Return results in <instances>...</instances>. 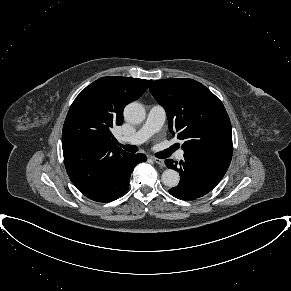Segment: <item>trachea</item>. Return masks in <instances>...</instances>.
Returning a JSON list of instances; mask_svg holds the SVG:
<instances>
[{"label":"trachea","mask_w":291,"mask_h":291,"mask_svg":"<svg viewBox=\"0 0 291 291\" xmlns=\"http://www.w3.org/2000/svg\"><path fill=\"white\" fill-rule=\"evenodd\" d=\"M121 147L124 148V150L131 152V153H135L138 151V148L136 146L133 145H120ZM175 150V147H171L168 150L164 151L163 154L161 155H157L158 158H165L167 156H169L173 151Z\"/></svg>","instance_id":"1"}]
</instances>
